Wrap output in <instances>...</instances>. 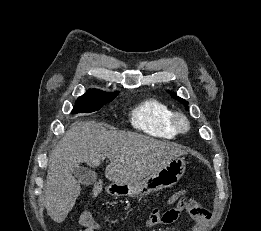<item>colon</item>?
<instances>
[{"label":"colon","instance_id":"1","mask_svg":"<svg viewBox=\"0 0 261 231\" xmlns=\"http://www.w3.org/2000/svg\"><path fill=\"white\" fill-rule=\"evenodd\" d=\"M172 201L175 202L179 209L188 214L193 223L198 224L205 229L211 220V212L198 204L194 199L186 196L185 192H177Z\"/></svg>","mask_w":261,"mask_h":231}]
</instances>
